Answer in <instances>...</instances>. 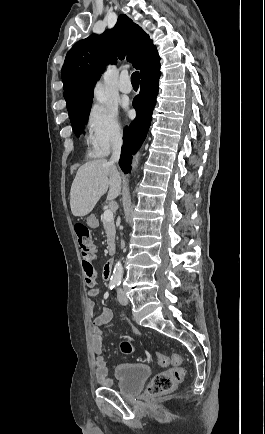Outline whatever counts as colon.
<instances>
[{
    "instance_id": "obj_1",
    "label": "colon",
    "mask_w": 265,
    "mask_h": 434,
    "mask_svg": "<svg viewBox=\"0 0 265 434\" xmlns=\"http://www.w3.org/2000/svg\"><path fill=\"white\" fill-rule=\"evenodd\" d=\"M80 253L86 259L83 261L84 279L88 286H94L96 283V268L93 261L97 255V248L88 227L83 223L74 225ZM120 348L123 353L130 354L133 352V347L129 342H122ZM157 362L162 365L172 364L173 367L164 372L155 374L151 383L147 387L148 393L156 394L162 392H170L175 389L178 383L184 381L186 372L181 366V359L178 355L166 356L163 354L156 355Z\"/></svg>"
}]
</instances>
